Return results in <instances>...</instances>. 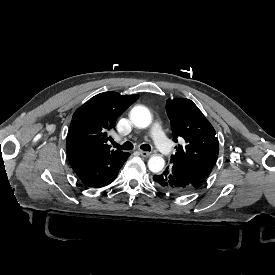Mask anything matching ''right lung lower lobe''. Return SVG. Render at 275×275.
Masks as SVG:
<instances>
[{"instance_id":"1","label":"right lung lower lobe","mask_w":275,"mask_h":275,"mask_svg":"<svg viewBox=\"0 0 275 275\" xmlns=\"http://www.w3.org/2000/svg\"><path fill=\"white\" fill-rule=\"evenodd\" d=\"M130 156L128 152L96 158L76 164L71 167L79 180L90 187H103L112 183L119 169Z\"/></svg>"}]
</instances>
